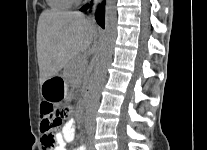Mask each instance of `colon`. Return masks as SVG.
Returning a JSON list of instances; mask_svg holds the SVG:
<instances>
[{"label": "colon", "instance_id": "5ec220e1", "mask_svg": "<svg viewBox=\"0 0 207 150\" xmlns=\"http://www.w3.org/2000/svg\"><path fill=\"white\" fill-rule=\"evenodd\" d=\"M69 109L66 106L55 105L53 102H44L41 107V131L44 150L55 149V133L60 129L68 117Z\"/></svg>", "mask_w": 207, "mask_h": 150}]
</instances>
